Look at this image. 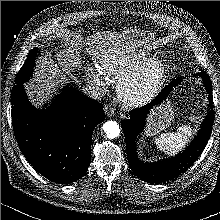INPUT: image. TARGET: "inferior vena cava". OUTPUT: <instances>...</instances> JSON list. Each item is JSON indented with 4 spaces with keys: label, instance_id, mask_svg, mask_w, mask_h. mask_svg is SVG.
Returning a JSON list of instances; mask_svg holds the SVG:
<instances>
[{
    "label": "inferior vena cava",
    "instance_id": "1",
    "mask_svg": "<svg viewBox=\"0 0 220 220\" xmlns=\"http://www.w3.org/2000/svg\"><path fill=\"white\" fill-rule=\"evenodd\" d=\"M82 92L90 98L100 100L103 97L102 89L96 85H86L83 87Z\"/></svg>",
    "mask_w": 220,
    "mask_h": 220
}]
</instances>
